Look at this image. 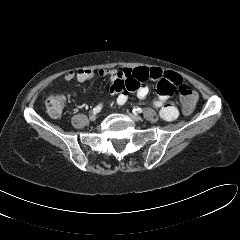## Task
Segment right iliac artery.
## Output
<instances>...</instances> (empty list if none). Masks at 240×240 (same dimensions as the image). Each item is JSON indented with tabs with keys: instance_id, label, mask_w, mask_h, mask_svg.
I'll list each match as a JSON object with an SVG mask.
<instances>
[{
	"instance_id": "right-iliac-artery-1",
	"label": "right iliac artery",
	"mask_w": 240,
	"mask_h": 240,
	"mask_svg": "<svg viewBox=\"0 0 240 240\" xmlns=\"http://www.w3.org/2000/svg\"><path fill=\"white\" fill-rule=\"evenodd\" d=\"M101 109H102V104H99L93 109L92 113L97 114L101 111Z\"/></svg>"
}]
</instances>
